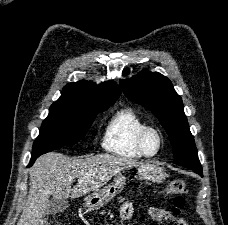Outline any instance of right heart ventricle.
Returning a JSON list of instances; mask_svg holds the SVG:
<instances>
[{
  "label": "right heart ventricle",
  "instance_id": "1",
  "mask_svg": "<svg viewBox=\"0 0 228 225\" xmlns=\"http://www.w3.org/2000/svg\"><path fill=\"white\" fill-rule=\"evenodd\" d=\"M147 123L132 108L115 112L105 125L101 145L105 151L120 157H146L138 146V135Z\"/></svg>",
  "mask_w": 228,
  "mask_h": 225
}]
</instances>
